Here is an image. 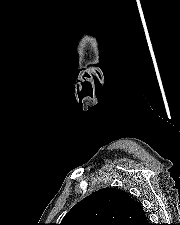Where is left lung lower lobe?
Returning a JSON list of instances; mask_svg holds the SVG:
<instances>
[{
    "label": "left lung lower lobe",
    "instance_id": "0a47b994",
    "mask_svg": "<svg viewBox=\"0 0 180 225\" xmlns=\"http://www.w3.org/2000/svg\"><path fill=\"white\" fill-rule=\"evenodd\" d=\"M142 217H143V216H142ZM142 217H140V218L134 220V221L131 223V225H143V220H141ZM144 225H145V224H144Z\"/></svg>",
    "mask_w": 180,
    "mask_h": 225
}]
</instances>
